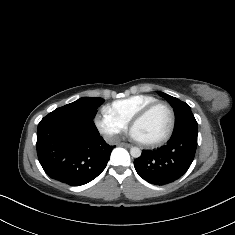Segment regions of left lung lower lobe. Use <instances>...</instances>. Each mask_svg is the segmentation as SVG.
Segmentation results:
<instances>
[{"instance_id":"1","label":"left lung lower lobe","mask_w":235,"mask_h":235,"mask_svg":"<svg viewBox=\"0 0 235 235\" xmlns=\"http://www.w3.org/2000/svg\"><path fill=\"white\" fill-rule=\"evenodd\" d=\"M197 148V136H172L167 145L154 151H142L134 166L140 177L151 184L171 183L189 169Z\"/></svg>"}]
</instances>
